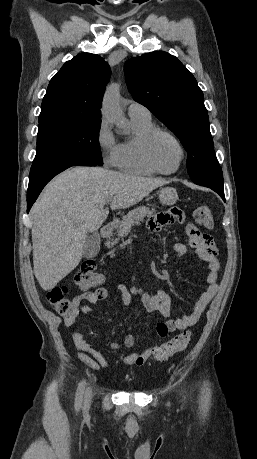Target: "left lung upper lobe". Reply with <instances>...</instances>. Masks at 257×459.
<instances>
[{"label": "left lung upper lobe", "instance_id": "1", "mask_svg": "<svg viewBox=\"0 0 257 459\" xmlns=\"http://www.w3.org/2000/svg\"><path fill=\"white\" fill-rule=\"evenodd\" d=\"M124 73L133 99L180 139L188 152L191 180L207 187H223L203 92L192 73L175 56L163 51L129 59Z\"/></svg>", "mask_w": 257, "mask_h": 459}]
</instances>
